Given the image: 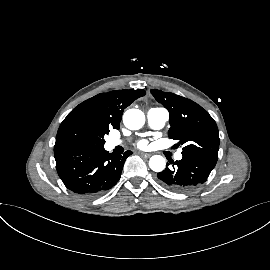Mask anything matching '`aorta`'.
Returning <instances> with one entry per match:
<instances>
[{
	"instance_id": "obj_1",
	"label": "aorta",
	"mask_w": 270,
	"mask_h": 270,
	"mask_svg": "<svg viewBox=\"0 0 270 270\" xmlns=\"http://www.w3.org/2000/svg\"><path fill=\"white\" fill-rule=\"evenodd\" d=\"M123 123L130 130H138L145 123V115L139 109H128L123 115ZM166 161L160 155H154L149 160V167L155 172L164 170Z\"/></svg>"
}]
</instances>
